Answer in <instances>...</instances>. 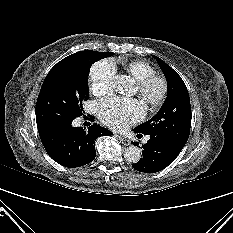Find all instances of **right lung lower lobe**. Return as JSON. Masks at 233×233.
<instances>
[{
	"label": "right lung lower lobe",
	"instance_id": "right-lung-lower-lobe-1",
	"mask_svg": "<svg viewBox=\"0 0 233 233\" xmlns=\"http://www.w3.org/2000/svg\"><path fill=\"white\" fill-rule=\"evenodd\" d=\"M90 119L94 118L90 116ZM41 142L48 155L65 167H79L90 163L96 156L95 140L99 136H110L111 131L97 124L87 131L70 124L38 130Z\"/></svg>",
	"mask_w": 233,
	"mask_h": 233
}]
</instances>
